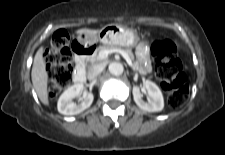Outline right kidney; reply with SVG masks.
<instances>
[{"instance_id": "ca27d5eb", "label": "right kidney", "mask_w": 225, "mask_h": 155, "mask_svg": "<svg viewBox=\"0 0 225 155\" xmlns=\"http://www.w3.org/2000/svg\"><path fill=\"white\" fill-rule=\"evenodd\" d=\"M83 93V99L80 104L72 102L77 96ZM94 96L92 93H85L84 86L82 84H74L66 89L60 96L57 104L59 113L64 115H76L89 108L93 102Z\"/></svg>"}]
</instances>
